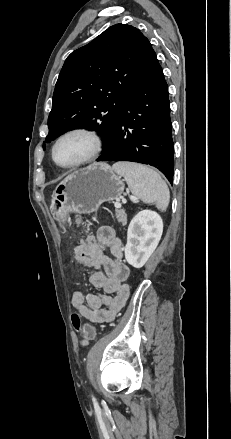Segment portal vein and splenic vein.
<instances>
[{
	"label": "portal vein and splenic vein",
	"instance_id": "18ae733b",
	"mask_svg": "<svg viewBox=\"0 0 231 439\" xmlns=\"http://www.w3.org/2000/svg\"><path fill=\"white\" fill-rule=\"evenodd\" d=\"M115 207L116 208H121V204L120 203H115Z\"/></svg>",
	"mask_w": 231,
	"mask_h": 439
}]
</instances>
